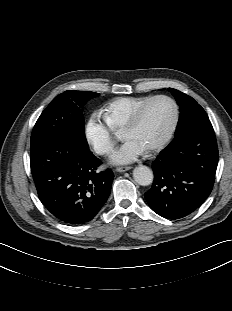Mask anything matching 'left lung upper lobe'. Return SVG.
Returning <instances> with one entry per match:
<instances>
[{"mask_svg":"<svg viewBox=\"0 0 232 311\" xmlns=\"http://www.w3.org/2000/svg\"><path fill=\"white\" fill-rule=\"evenodd\" d=\"M169 91L174 95L180 106V117L175 134L181 130L208 119L205 110L190 96L173 88Z\"/></svg>","mask_w":232,"mask_h":311,"instance_id":"left-lung-upper-lobe-1","label":"left lung upper lobe"}]
</instances>
